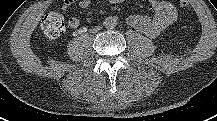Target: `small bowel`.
Here are the masks:
<instances>
[{"mask_svg":"<svg viewBox=\"0 0 217 121\" xmlns=\"http://www.w3.org/2000/svg\"><path fill=\"white\" fill-rule=\"evenodd\" d=\"M125 0H110L111 3H121ZM153 8L157 12V16L153 20H148L143 16H132L129 18V22L139 29L146 31H156L161 29L174 21L176 18V10L170 2L166 0H149ZM74 0H64V8H69L73 4ZM91 0H82L80 5L87 7L90 5ZM71 28H77L80 21L77 17H71L68 21Z\"/></svg>","mask_w":217,"mask_h":121,"instance_id":"obj_1","label":"small bowel"}]
</instances>
